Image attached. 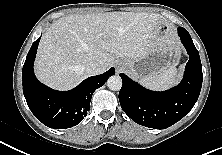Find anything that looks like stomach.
Listing matches in <instances>:
<instances>
[{"label": "stomach", "instance_id": "obj_1", "mask_svg": "<svg viewBox=\"0 0 222 155\" xmlns=\"http://www.w3.org/2000/svg\"><path fill=\"white\" fill-rule=\"evenodd\" d=\"M179 58L180 47L170 26L164 21H159L146 55L141 58H126L121 61V65L132 77L142 78L175 67Z\"/></svg>", "mask_w": 222, "mask_h": 155}]
</instances>
